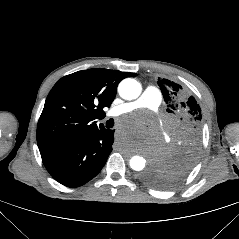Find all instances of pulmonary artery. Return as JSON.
<instances>
[{
    "mask_svg": "<svg viewBox=\"0 0 239 239\" xmlns=\"http://www.w3.org/2000/svg\"><path fill=\"white\" fill-rule=\"evenodd\" d=\"M162 102V94L155 86H147L142 95L135 101L127 102L112 108L108 115L117 117L122 114L133 112L137 109L147 108L157 110Z\"/></svg>",
    "mask_w": 239,
    "mask_h": 239,
    "instance_id": "pulmonary-artery-1",
    "label": "pulmonary artery"
}]
</instances>
